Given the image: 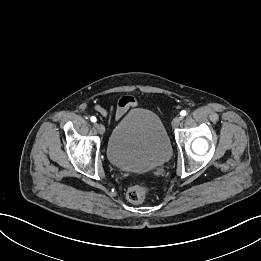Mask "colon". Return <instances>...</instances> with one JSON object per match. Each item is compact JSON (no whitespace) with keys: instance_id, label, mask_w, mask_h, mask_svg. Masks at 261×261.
Instances as JSON below:
<instances>
[{"instance_id":"colon-1","label":"colon","mask_w":261,"mask_h":261,"mask_svg":"<svg viewBox=\"0 0 261 261\" xmlns=\"http://www.w3.org/2000/svg\"><path fill=\"white\" fill-rule=\"evenodd\" d=\"M149 193L147 186L136 184L131 186L127 191V198L132 203H141L145 200Z\"/></svg>"}]
</instances>
